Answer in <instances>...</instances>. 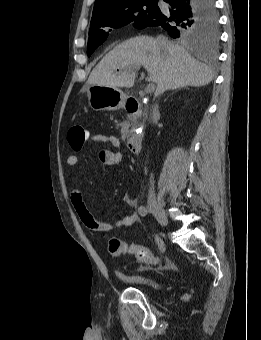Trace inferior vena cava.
<instances>
[{
  "instance_id": "obj_1",
  "label": "inferior vena cava",
  "mask_w": 261,
  "mask_h": 340,
  "mask_svg": "<svg viewBox=\"0 0 261 340\" xmlns=\"http://www.w3.org/2000/svg\"><path fill=\"white\" fill-rule=\"evenodd\" d=\"M157 41L158 44L161 48H166V46L168 45L169 41L167 40V38H165L164 36H159L157 37ZM159 118V111H158V105L156 104L153 108L152 111V120L154 123L157 122ZM149 198H155V192H154V178L153 175L151 174L150 177V188H149Z\"/></svg>"
}]
</instances>
